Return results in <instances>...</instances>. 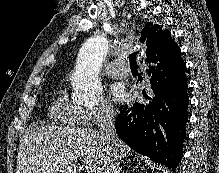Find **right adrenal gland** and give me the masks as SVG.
<instances>
[{
	"instance_id": "right-adrenal-gland-1",
	"label": "right adrenal gland",
	"mask_w": 219,
	"mask_h": 173,
	"mask_svg": "<svg viewBox=\"0 0 219 173\" xmlns=\"http://www.w3.org/2000/svg\"><path fill=\"white\" fill-rule=\"evenodd\" d=\"M120 172H121V173H124V171H122V168H120Z\"/></svg>"
}]
</instances>
